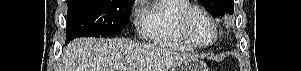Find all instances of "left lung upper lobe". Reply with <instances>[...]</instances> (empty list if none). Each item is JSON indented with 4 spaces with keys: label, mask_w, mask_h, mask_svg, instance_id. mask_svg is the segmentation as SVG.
I'll return each mask as SVG.
<instances>
[{
    "label": "left lung upper lobe",
    "mask_w": 301,
    "mask_h": 71,
    "mask_svg": "<svg viewBox=\"0 0 301 71\" xmlns=\"http://www.w3.org/2000/svg\"><path fill=\"white\" fill-rule=\"evenodd\" d=\"M204 8L214 17H223L226 13L233 14V0H199Z\"/></svg>",
    "instance_id": "obj_1"
}]
</instances>
